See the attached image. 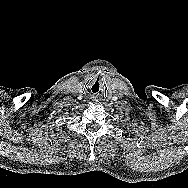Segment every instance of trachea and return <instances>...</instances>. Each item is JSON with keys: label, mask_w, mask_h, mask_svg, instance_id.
I'll use <instances>...</instances> for the list:
<instances>
[{"label": "trachea", "mask_w": 188, "mask_h": 188, "mask_svg": "<svg viewBox=\"0 0 188 188\" xmlns=\"http://www.w3.org/2000/svg\"><path fill=\"white\" fill-rule=\"evenodd\" d=\"M102 87H103V84L101 81L99 80L94 81L92 84V89H91L92 94L95 96L100 95L102 92Z\"/></svg>", "instance_id": "obj_1"}]
</instances>
